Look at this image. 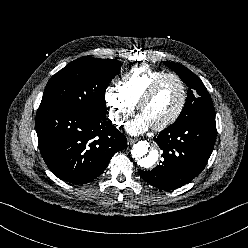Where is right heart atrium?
Listing matches in <instances>:
<instances>
[{
    "instance_id": "obj_1",
    "label": "right heart atrium",
    "mask_w": 248,
    "mask_h": 248,
    "mask_svg": "<svg viewBox=\"0 0 248 248\" xmlns=\"http://www.w3.org/2000/svg\"><path fill=\"white\" fill-rule=\"evenodd\" d=\"M104 97L109 118L116 126L122 125L135 111V104L126 96L121 86L107 87Z\"/></svg>"
}]
</instances>
